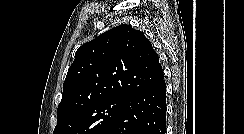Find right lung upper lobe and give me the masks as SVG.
Instances as JSON below:
<instances>
[{"mask_svg": "<svg viewBox=\"0 0 244 134\" xmlns=\"http://www.w3.org/2000/svg\"><path fill=\"white\" fill-rule=\"evenodd\" d=\"M164 78L159 57L145 35L122 24L75 53L57 109V120L109 98L128 99Z\"/></svg>", "mask_w": 244, "mask_h": 134, "instance_id": "1", "label": "right lung upper lobe"}]
</instances>
